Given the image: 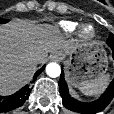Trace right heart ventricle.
<instances>
[{
    "instance_id": "obj_1",
    "label": "right heart ventricle",
    "mask_w": 114,
    "mask_h": 114,
    "mask_svg": "<svg viewBox=\"0 0 114 114\" xmlns=\"http://www.w3.org/2000/svg\"><path fill=\"white\" fill-rule=\"evenodd\" d=\"M59 26L66 32V33H71L73 32L76 27L77 23L71 22V21H62L59 23Z\"/></svg>"
}]
</instances>
